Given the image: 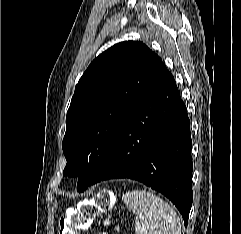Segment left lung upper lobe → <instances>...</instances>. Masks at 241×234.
Instances as JSON below:
<instances>
[{
  "label": "left lung upper lobe",
  "instance_id": "obj_1",
  "mask_svg": "<svg viewBox=\"0 0 241 234\" xmlns=\"http://www.w3.org/2000/svg\"><path fill=\"white\" fill-rule=\"evenodd\" d=\"M162 61L142 42L124 41L89 65L75 87L62 142L63 176L83 192L102 166L128 112Z\"/></svg>",
  "mask_w": 241,
  "mask_h": 234
}]
</instances>
